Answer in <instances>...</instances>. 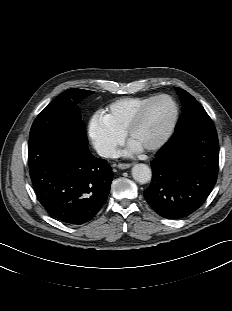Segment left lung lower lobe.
I'll return each mask as SVG.
<instances>
[{"label":"left lung lower lobe","mask_w":232,"mask_h":311,"mask_svg":"<svg viewBox=\"0 0 232 311\" xmlns=\"http://www.w3.org/2000/svg\"><path fill=\"white\" fill-rule=\"evenodd\" d=\"M219 144L211 118L186 122L156 153L152 182L144 196L152 209L168 219L196 211L215 186Z\"/></svg>","instance_id":"left-lung-lower-lobe-1"}]
</instances>
